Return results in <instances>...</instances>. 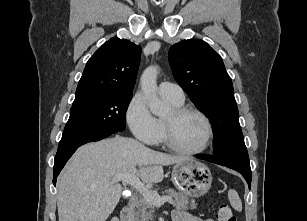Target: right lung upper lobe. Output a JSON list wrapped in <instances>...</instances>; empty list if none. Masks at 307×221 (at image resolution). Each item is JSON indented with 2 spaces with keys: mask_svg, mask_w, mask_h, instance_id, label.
<instances>
[{
  "mask_svg": "<svg viewBox=\"0 0 307 221\" xmlns=\"http://www.w3.org/2000/svg\"><path fill=\"white\" fill-rule=\"evenodd\" d=\"M140 56L141 47L128 40L105 42L88 60L74 102L109 93H132Z\"/></svg>",
  "mask_w": 307,
  "mask_h": 221,
  "instance_id": "1",
  "label": "right lung upper lobe"
}]
</instances>
